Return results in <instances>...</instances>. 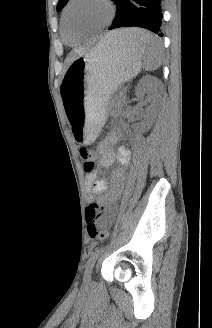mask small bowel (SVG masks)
Here are the masks:
<instances>
[{"label": "small bowel", "mask_w": 212, "mask_h": 328, "mask_svg": "<svg viewBox=\"0 0 212 328\" xmlns=\"http://www.w3.org/2000/svg\"><path fill=\"white\" fill-rule=\"evenodd\" d=\"M114 136L109 137L100 149V164L102 167H110L114 162H118L120 170L112 175L113 189L109 196L104 199H98L97 196L102 194L107 187L104 179L97 177V171L92 170L87 172L85 176L86 183L90 190V201H99L106 204L107 208L102 217L101 224L109 227L116 215V203L121 197V188L125 179V167L129 162V152L125 147H119L116 151L113 150L111 144L113 143Z\"/></svg>", "instance_id": "1"}]
</instances>
